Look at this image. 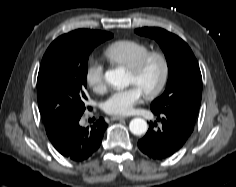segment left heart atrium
<instances>
[{
	"label": "left heart atrium",
	"instance_id": "obj_1",
	"mask_svg": "<svg viewBox=\"0 0 236 187\" xmlns=\"http://www.w3.org/2000/svg\"><path fill=\"white\" fill-rule=\"evenodd\" d=\"M143 92L132 85L131 87L113 92L104 102L106 113L114 116H125L132 112L133 107L141 100Z\"/></svg>",
	"mask_w": 236,
	"mask_h": 187
}]
</instances>
